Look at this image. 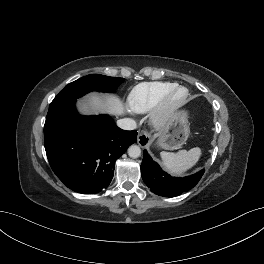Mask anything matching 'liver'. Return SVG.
<instances>
[{"instance_id":"1","label":"liver","mask_w":264,"mask_h":264,"mask_svg":"<svg viewBox=\"0 0 264 264\" xmlns=\"http://www.w3.org/2000/svg\"><path fill=\"white\" fill-rule=\"evenodd\" d=\"M80 110L85 114L109 113L122 115L125 112L122 101L113 95L99 96L91 94L88 103H80Z\"/></svg>"}]
</instances>
